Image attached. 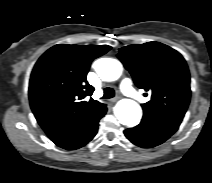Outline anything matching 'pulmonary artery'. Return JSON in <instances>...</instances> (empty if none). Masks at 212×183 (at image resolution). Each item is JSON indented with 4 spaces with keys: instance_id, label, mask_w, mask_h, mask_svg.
<instances>
[{
    "instance_id": "obj_1",
    "label": "pulmonary artery",
    "mask_w": 212,
    "mask_h": 183,
    "mask_svg": "<svg viewBox=\"0 0 212 183\" xmlns=\"http://www.w3.org/2000/svg\"><path fill=\"white\" fill-rule=\"evenodd\" d=\"M120 88L122 92L127 96L137 99L141 102L146 101L145 97H143L140 93H138L135 89H133L132 83L129 79L127 78L123 79L120 83Z\"/></svg>"
}]
</instances>
